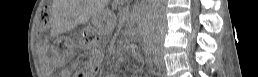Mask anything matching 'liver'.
<instances>
[{
    "instance_id": "6515ba94",
    "label": "liver",
    "mask_w": 258,
    "mask_h": 77,
    "mask_svg": "<svg viewBox=\"0 0 258 77\" xmlns=\"http://www.w3.org/2000/svg\"><path fill=\"white\" fill-rule=\"evenodd\" d=\"M53 10L56 18L73 27L76 23L81 21L80 18L85 8H82L79 1L55 0Z\"/></svg>"
}]
</instances>
